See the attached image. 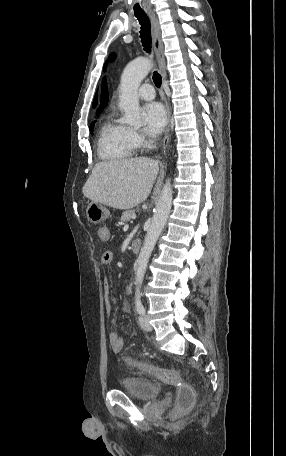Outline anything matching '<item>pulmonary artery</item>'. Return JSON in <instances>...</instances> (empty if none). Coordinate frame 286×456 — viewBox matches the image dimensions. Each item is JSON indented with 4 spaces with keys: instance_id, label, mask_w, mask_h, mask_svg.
<instances>
[{
    "instance_id": "pulmonary-artery-1",
    "label": "pulmonary artery",
    "mask_w": 286,
    "mask_h": 456,
    "mask_svg": "<svg viewBox=\"0 0 286 456\" xmlns=\"http://www.w3.org/2000/svg\"><path fill=\"white\" fill-rule=\"evenodd\" d=\"M138 96L143 100H152L155 98V91L151 84L145 83L138 89Z\"/></svg>"
}]
</instances>
